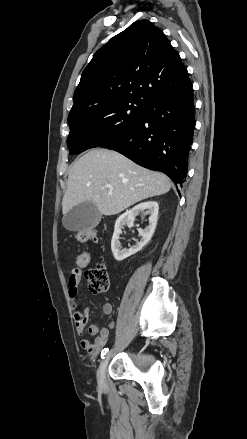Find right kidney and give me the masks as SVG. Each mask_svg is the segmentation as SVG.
<instances>
[{"label":"right kidney","instance_id":"right-kidney-1","mask_svg":"<svg viewBox=\"0 0 247 439\" xmlns=\"http://www.w3.org/2000/svg\"><path fill=\"white\" fill-rule=\"evenodd\" d=\"M159 205L155 201L143 202L119 216L116 220L114 233L111 241V250L117 261H122L127 257L140 251L151 239L157 224ZM139 214L149 215V225L145 229H138L141 240L129 249H122L119 237L122 228L134 223L135 217Z\"/></svg>","mask_w":247,"mask_h":439}]
</instances>
